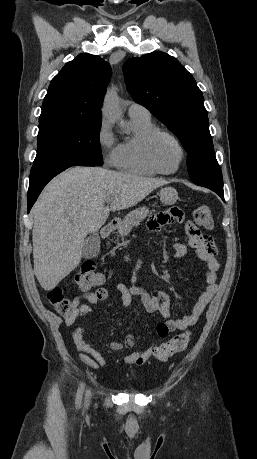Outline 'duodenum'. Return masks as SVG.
Wrapping results in <instances>:
<instances>
[{
    "label": "duodenum",
    "mask_w": 257,
    "mask_h": 459,
    "mask_svg": "<svg viewBox=\"0 0 257 459\" xmlns=\"http://www.w3.org/2000/svg\"><path fill=\"white\" fill-rule=\"evenodd\" d=\"M116 225H117V221H111L107 223L105 226L102 227L100 231V235L103 238L109 237L112 231L114 230V228L116 227Z\"/></svg>",
    "instance_id": "duodenum-1"
}]
</instances>
